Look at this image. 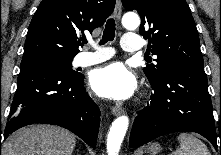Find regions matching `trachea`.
Returning <instances> with one entry per match:
<instances>
[{
    "instance_id": "3493384b",
    "label": "trachea",
    "mask_w": 221,
    "mask_h": 155,
    "mask_svg": "<svg viewBox=\"0 0 221 155\" xmlns=\"http://www.w3.org/2000/svg\"><path fill=\"white\" fill-rule=\"evenodd\" d=\"M115 37V21L113 18L108 19L105 29L103 32L102 40L100 41V44H105L108 41H113ZM84 44H87V40H83Z\"/></svg>"
}]
</instances>
